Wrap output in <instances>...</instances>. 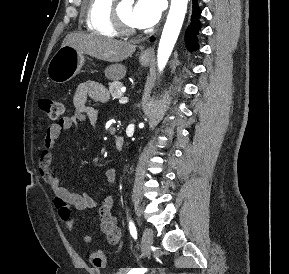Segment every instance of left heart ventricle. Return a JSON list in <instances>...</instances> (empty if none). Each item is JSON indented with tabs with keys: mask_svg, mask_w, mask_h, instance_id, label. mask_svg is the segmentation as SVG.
Wrapping results in <instances>:
<instances>
[{
	"mask_svg": "<svg viewBox=\"0 0 289 274\" xmlns=\"http://www.w3.org/2000/svg\"><path fill=\"white\" fill-rule=\"evenodd\" d=\"M133 6L129 3H121L118 5L119 13L122 19L130 26L135 27L131 21Z\"/></svg>",
	"mask_w": 289,
	"mask_h": 274,
	"instance_id": "obj_1",
	"label": "left heart ventricle"
}]
</instances>
